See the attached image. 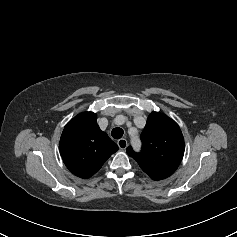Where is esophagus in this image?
Returning a JSON list of instances; mask_svg holds the SVG:
<instances>
[{"label":"esophagus","mask_w":237,"mask_h":237,"mask_svg":"<svg viewBox=\"0 0 237 237\" xmlns=\"http://www.w3.org/2000/svg\"><path fill=\"white\" fill-rule=\"evenodd\" d=\"M117 144H118V146H119V148H120L121 150L126 149V147H127V145H128L127 140L124 139V138L119 139L118 142H117Z\"/></svg>","instance_id":"obj_1"}]
</instances>
